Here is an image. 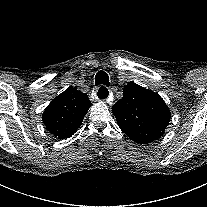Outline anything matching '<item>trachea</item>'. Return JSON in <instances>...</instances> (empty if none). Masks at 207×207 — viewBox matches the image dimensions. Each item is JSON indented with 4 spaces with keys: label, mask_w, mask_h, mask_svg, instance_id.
I'll return each mask as SVG.
<instances>
[{
    "label": "trachea",
    "mask_w": 207,
    "mask_h": 207,
    "mask_svg": "<svg viewBox=\"0 0 207 207\" xmlns=\"http://www.w3.org/2000/svg\"><path fill=\"white\" fill-rule=\"evenodd\" d=\"M103 84L104 86H101L100 89L98 90V97L100 99H105L109 95V92L105 86H109V76L107 75L106 72L104 71H99L96 74L95 77V85H100Z\"/></svg>",
    "instance_id": "trachea-1"
}]
</instances>
